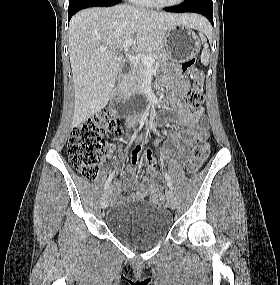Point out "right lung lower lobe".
<instances>
[{"label": "right lung lower lobe", "mask_w": 280, "mask_h": 285, "mask_svg": "<svg viewBox=\"0 0 280 285\" xmlns=\"http://www.w3.org/2000/svg\"><path fill=\"white\" fill-rule=\"evenodd\" d=\"M121 0H71L68 7V21L81 9L88 7H108L120 3Z\"/></svg>", "instance_id": "obj_1"}]
</instances>
